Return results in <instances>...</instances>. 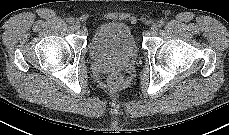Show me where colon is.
<instances>
[{
	"label": "colon",
	"mask_w": 229,
	"mask_h": 135,
	"mask_svg": "<svg viewBox=\"0 0 229 135\" xmlns=\"http://www.w3.org/2000/svg\"><path fill=\"white\" fill-rule=\"evenodd\" d=\"M107 83L110 87L117 89L121 86L122 84V78L119 74L117 73H112L108 76L107 78Z\"/></svg>",
	"instance_id": "colon-1"
}]
</instances>
